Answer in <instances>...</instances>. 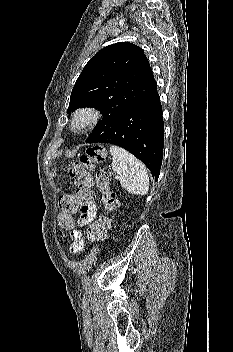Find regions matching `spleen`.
<instances>
[{
  "mask_svg": "<svg viewBox=\"0 0 233 352\" xmlns=\"http://www.w3.org/2000/svg\"><path fill=\"white\" fill-rule=\"evenodd\" d=\"M112 169L120 175L122 187L133 195H146L149 190V177L146 167L125 149L112 145Z\"/></svg>",
  "mask_w": 233,
  "mask_h": 352,
  "instance_id": "1",
  "label": "spleen"
}]
</instances>
